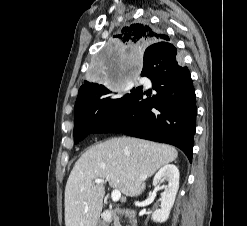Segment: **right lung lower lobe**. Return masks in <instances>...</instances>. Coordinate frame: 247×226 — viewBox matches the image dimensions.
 Masks as SVG:
<instances>
[{"label":"right lung lower lobe","instance_id":"98d812e1","mask_svg":"<svg viewBox=\"0 0 247 226\" xmlns=\"http://www.w3.org/2000/svg\"><path fill=\"white\" fill-rule=\"evenodd\" d=\"M169 42L149 45L142 76L152 81V91L137 87L106 116L94 133H120L172 144L192 160L197 108L190 72L176 57ZM147 96V97H146Z\"/></svg>","mask_w":247,"mask_h":226}]
</instances>
